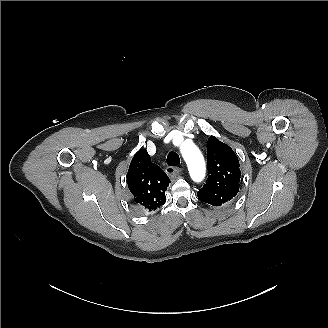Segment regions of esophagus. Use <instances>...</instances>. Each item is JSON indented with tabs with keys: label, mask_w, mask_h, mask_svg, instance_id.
<instances>
[{
	"label": "esophagus",
	"mask_w": 328,
	"mask_h": 328,
	"mask_svg": "<svg viewBox=\"0 0 328 328\" xmlns=\"http://www.w3.org/2000/svg\"><path fill=\"white\" fill-rule=\"evenodd\" d=\"M165 172L172 178H174L175 176L179 175V173L181 172V169L178 167H174V166H169L165 169Z\"/></svg>",
	"instance_id": "esophagus-1"
}]
</instances>
